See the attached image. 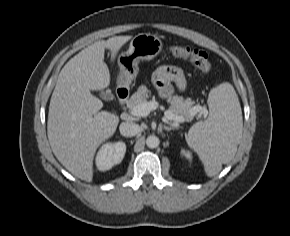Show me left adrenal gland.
<instances>
[{
  "instance_id": "left-adrenal-gland-1",
  "label": "left adrenal gland",
  "mask_w": 290,
  "mask_h": 236,
  "mask_svg": "<svg viewBox=\"0 0 290 236\" xmlns=\"http://www.w3.org/2000/svg\"><path fill=\"white\" fill-rule=\"evenodd\" d=\"M165 130L167 131H171V130H177V127H168V126H164Z\"/></svg>"
}]
</instances>
